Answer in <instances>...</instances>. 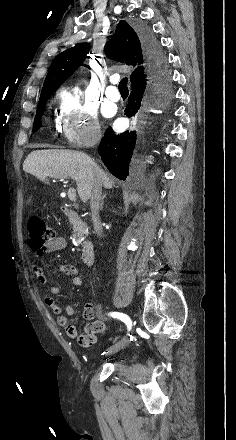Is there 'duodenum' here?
I'll return each instance as SVG.
<instances>
[{
    "mask_svg": "<svg viewBox=\"0 0 236 440\" xmlns=\"http://www.w3.org/2000/svg\"><path fill=\"white\" fill-rule=\"evenodd\" d=\"M61 210H62L63 215L70 220L76 221L80 217L78 212H76L74 209H72L66 205H62ZM94 256H95V251H94V245H93L92 241L84 240L83 244H82V251H81L82 262L86 266H91L94 262Z\"/></svg>",
    "mask_w": 236,
    "mask_h": 440,
    "instance_id": "duodenum-1",
    "label": "duodenum"
}]
</instances>
